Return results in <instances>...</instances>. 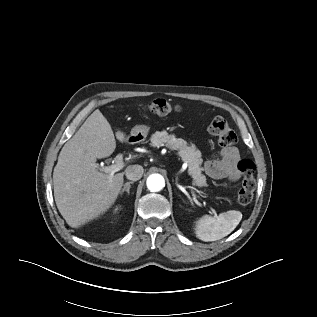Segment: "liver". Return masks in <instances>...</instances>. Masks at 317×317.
I'll list each match as a JSON object with an SVG mask.
<instances>
[{
  "mask_svg": "<svg viewBox=\"0 0 317 317\" xmlns=\"http://www.w3.org/2000/svg\"><path fill=\"white\" fill-rule=\"evenodd\" d=\"M120 142L128 138L116 132ZM116 148L111 126L97 109L65 143L53 172L54 198L67 224L78 228L106 212L116 201L124 172L98 171L97 159L109 157Z\"/></svg>",
  "mask_w": 317,
  "mask_h": 317,
  "instance_id": "6515ba94",
  "label": "liver"
}]
</instances>
